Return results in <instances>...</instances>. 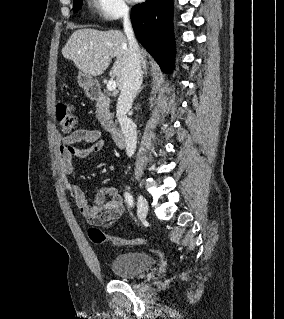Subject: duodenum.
<instances>
[{
	"label": "duodenum",
	"mask_w": 284,
	"mask_h": 319,
	"mask_svg": "<svg viewBox=\"0 0 284 319\" xmlns=\"http://www.w3.org/2000/svg\"><path fill=\"white\" fill-rule=\"evenodd\" d=\"M89 94L91 96L92 99L95 100H100L101 94L98 90L91 88L89 91ZM103 128L105 129V131H107L108 133H110V135L112 136V139L114 141V143L118 146V147H122L125 144V138H124V134L122 133V131L115 125V123L111 120H107L103 123Z\"/></svg>",
	"instance_id": "1"
}]
</instances>
